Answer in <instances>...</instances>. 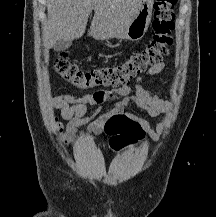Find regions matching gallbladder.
<instances>
[{
    "mask_svg": "<svg viewBox=\"0 0 216 217\" xmlns=\"http://www.w3.org/2000/svg\"><path fill=\"white\" fill-rule=\"evenodd\" d=\"M71 44V40H57L53 48L55 51H61L69 48Z\"/></svg>",
    "mask_w": 216,
    "mask_h": 217,
    "instance_id": "gallbladder-1",
    "label": "gallbladder"
}]
</instances>
